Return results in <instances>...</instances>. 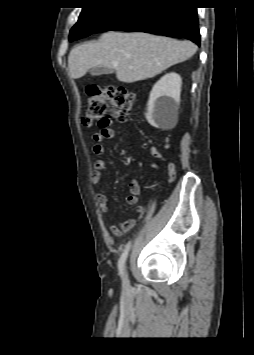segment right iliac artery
Returning a JSON list of instances; mask_svg holds the SVG:
<instances>
[{"label":"right iliac artery","mask_w":254,"mask_h":355,"mask_svg":"<svg viewBox=\"0 0 254 355\" xmlns=\"http://www.w3.org/2000/svg\"><path fill=\"white\" fill-rule=\"evenodd\" d=\"M131 247V242H129L127 245H126V248L124 250V252L122 253L120 259H119V262H118V269H119V272H120V275L123 277L124 275V264H125V261H126V258H127V255H128V251Z\"/></svg>","instance_id":"1"}]
</instances>
